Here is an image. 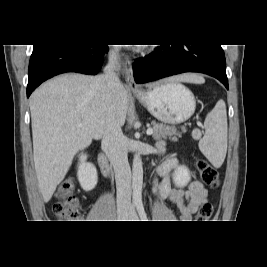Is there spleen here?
<instances>
[{"instance_id": "1", "label": "spleen", "mask_w": 267, "mask_h": 267, "mask_svg": "<svg viewBox=\"0 0 267 267\" xmlns=\"http://www.w3.org/2000/svg\"><path fill=\"white\" fill-rule=\"evenodd\" d=\"M205 133L199 141V149L211 164L219 168L227 152V113L223 100H219L206 116Z\"/></svg>"}]
</instances>
